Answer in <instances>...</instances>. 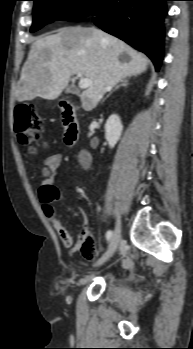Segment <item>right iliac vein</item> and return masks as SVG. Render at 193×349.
<instances>
[{
	"label": "right iliac vein",
	"mask_w": 193,
	"mask_h": 349,
	"mask_svg": "<svg viewBox=\"0 0 193 349\" xmlns=\"http://www.w3.org/2000/svg\"><path fill=\"white\" fill-rule=\"evenodd\" d=\"M121 239V222L120 219L117 221V225L115 227L114 233L111 237L109 246L103 256L95 263V267L100 266L104 262H106L115 252L118 247V244Z\"/></svg>",
	"instance_id": "obj_1"
}]
</instances>
